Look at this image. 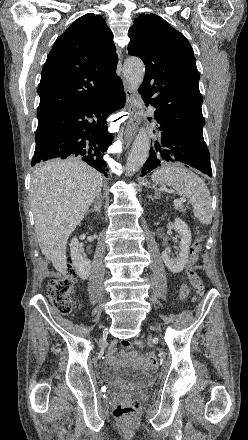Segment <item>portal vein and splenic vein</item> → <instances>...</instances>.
Segmentation results:
<instances>
[{
	"label": "portal vein and splenic vein",
	"instance_id": "1",
	"mask_svg": "<svg viewBox=\"0 0 248 440\" xmlns=\"http://www.w3.org/2000/svg\"><path fill=\"white\" fill-rule=\"evenodd\" d=\"M183 202H186V200H185V199L175 200V201H174V204H175V205H181Z\"/></svg>",
	"mask_w": 248,
	"mask_h": 440
}]
</instances>
